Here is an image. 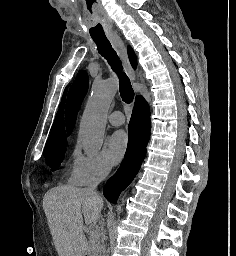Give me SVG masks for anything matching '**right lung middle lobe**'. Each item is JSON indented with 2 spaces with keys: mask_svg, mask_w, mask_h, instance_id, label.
<instances>
[{
  "mask_svg": "<svg viewBox=\"0 0 236 256\" xmlns=\"http://www.w3.org/2000/svg\"><path fill=\"white\" fill-rule=\"evenodd\" d=\"M65 151H66V138L59 141L46 143V146L44 149V157L48 165L53 170H56L60 166L64 158Z\"/></svg>",
  "mask_w": 236,
  "mask_h": 256,
  "instance_id": "obj_1",
  "label": "right lung middle lobe"
}]
</instances>
